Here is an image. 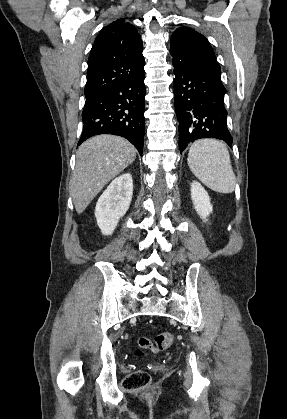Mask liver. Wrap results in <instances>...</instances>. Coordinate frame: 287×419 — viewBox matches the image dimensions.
Here are the masks:
<instances>
[{
    "label": "liver",
    "instance_id": "1",
    "mask_svg": "<svg viewBox=\"0 0 287 419\" xmlns=\"http://www.w3.org/2000/svg\"><path fill=\"white\" fill-rule=\"evenodd\" d=\"M136 158L135 147L126 139L102 134L86 140L76 154L70 195L81 214L103 187Z\"/></svg>",
    "mask_w": 287,
    "mask_h": 419
}]
</instances>
